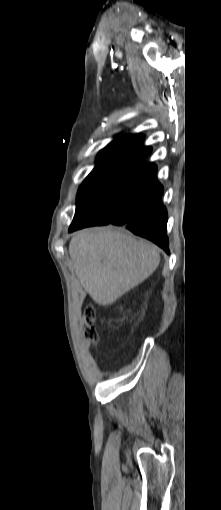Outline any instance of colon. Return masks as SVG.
Wrapping results in <instances>:
<instances>
[{
    "label": "colon",
    "mask_w": 221,
    "mask_h": 510,
    "mask_svg": "<svg viewBox=\"0 0 221 510\" xmlns=\"http://www.w3.org/2000/svg\"><path fill=\"white\" fill-rule=\"evenodd\" d=\"M84 320L87 325L84 330V335L87 339L95 342L97 340V333L93 327L95 323V310L93 307H86L84 309Z\"/></svg>",
    "instance_id": "obj_1"
}]
</instances>
